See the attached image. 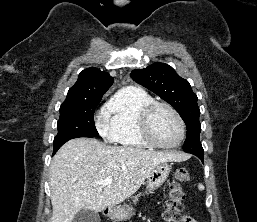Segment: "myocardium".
<instances>
[{
    "label": "myocardium",
    "instance_id": "f54148a6",
    "mask_svg": "<svg viewBox=\"0 0 257 222\" xmlns=\"http://www.w3.org/2000/svg\"><path fill=\"white\" fill-rule=\"evenodd\" d=\"M158 108H166L169 110L174 117L176 118L178 125H179V130H180V135L179 139L177 140L176 143L170 144V145H165L160 142H158L151 129V118L154 112ZM139 126H140V132L143 137V139L152 147L159 148V149H175L179 147L182 142L184 141L185 138V122L180 115V113L170 104L166 102H160V101H153L150 104H148L141 112L140 118H139Z\"/></svg>",
    "mask_w": 257,
    "mask_h": 222
}]
</instances>
